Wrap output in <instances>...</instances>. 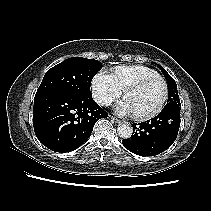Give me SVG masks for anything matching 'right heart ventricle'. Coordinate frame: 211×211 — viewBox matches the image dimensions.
I'll list each match as a JSON object with an SVG mask.
<instances>
[{
	"instance_id": "obj_1",
	"label": "right heart ventricle",
	"mask_w": 211,
	"mask_h": 211,
	"mask_svg": "<svg viewBox=\"0 0 211 211\" xmlns=\"http://www.w3.org/2000/svg\"><path fill=\"white\" fill-rule=\"evenodd\" d=\"M112 75L122 91L141 79L160 76L156 70L144 65L117 66Z\"/></svg>"
}]
</instances>
